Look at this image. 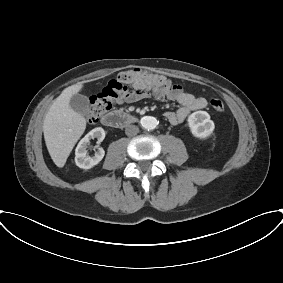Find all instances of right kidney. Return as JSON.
Returning <instances> with one entry per match:
<instances>
[{
    "instance_id": "ca27d5eb",
    "label": "right kidney",
    "mask_w": 283,
    "mask_h": 283,
    "mask_svg": "<svg viewBox=\"0 0 283 283\" xmlns=\"http://www.w3.org/2000/svg\"><path fill=\"white\" fill-rule=\"evenodd\" d=\"M94 138L98 139V143L102 142L105 138L104 129L94 128L78 143L75 150V163L79 168L90 169L103 159L105 151L102 148H99L93 157L87 155V145Z\"/></svg>"
}]
</instances>
